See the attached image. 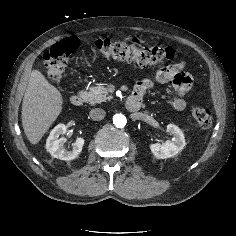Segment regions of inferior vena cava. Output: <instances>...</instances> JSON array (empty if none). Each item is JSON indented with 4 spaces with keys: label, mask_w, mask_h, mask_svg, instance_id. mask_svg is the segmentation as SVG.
I'll list each match as a JSON object with an SVG mask.
<instances>
[{
    "label": "inferior vena cava",
    "mask_w": 236,
    "mask_h": 236,
    "mask_svg": "<svg viewBox=\"0 0 236 236\" xmlns=\"http://www.w3.org/2000/svg\"><path fill=\"white\" fill-rule=\"evenodd\" d=\"M89 114H90L91 119L95 121H99V120L104 119L106 112L101 108H94L90 111Z\"/></svg>",
    "instance_id": "inferior-vena-cava-1"
}]
</instances>
